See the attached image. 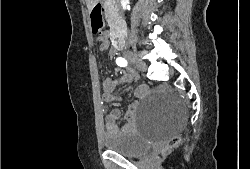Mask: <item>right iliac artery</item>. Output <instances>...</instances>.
<instances>
[{"mask_svg": "<svg viewBox=\"0 0 250 169\" xmlns=\"http://www.w3.org/2000/svg\"><path fill=\"white\" fill-rule=\"evenodd\" d=\"M116 63H117V65H119L120 67H125V66H127V61H126L124 58H122V57L117 58V59H116Z\"/></svg>", "mask_w": 250, "mask_h": 169, "instance_id": "right-iliac-artery-1", "label": "right iliac artery"}]
</instances>
